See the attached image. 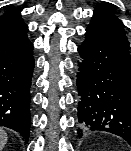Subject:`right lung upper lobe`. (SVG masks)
Wrapping results in <instances>:
<instances>
[{"instance_id": "1", "label": "right lung upper lobe", "mask_w": 131, "mask_h": 151, "mask_svg": "<svg viewBox=\"0 0 131 151\" xmlns=\"http://www.w3.org/2000/svg\"><path fill=\"white\" fill-rule=\"evenodd\" d=\"M28 30L19 9H11L0 16V34L18 33Z\"/></svg>"}]
</instances>
